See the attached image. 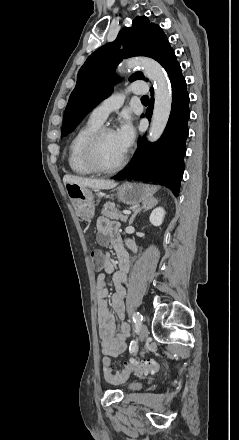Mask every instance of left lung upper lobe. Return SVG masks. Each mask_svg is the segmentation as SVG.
I'll return each mask as SVG.
<instances>
[{
	"label": "left lung upper lobe",
	"mask_w": 239,
	"mask_h": 440,
	"mask_svg": "<svg viewBox=\"0 0 239 440\" xmlns=\"http://www.w3.org/2000/svg\"><path fill=\"white\" fill-rule=\"evenodd\" d=\"M123 45V49L120 46ZM172 48L162 29L150 23L145 16L133 20L131 28H123L117 39L92 53L81 67L77 83L65 109L62 134L72 132L80 121L111 93L118 81L115 67L123 59L132 56H148L161 65ZM144 80L141 72L129 80Z\"/></svg>",
	"instance_id": "obj_1"
}]
</instances>
